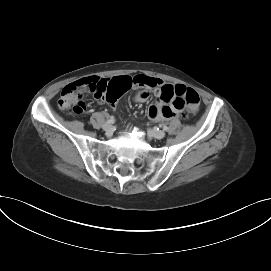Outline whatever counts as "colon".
Wrapping results in <instances>:
<instances>
[{
    "label": "colon",
    "instance_id": "1",
    "mask_svg": "<svg viewBox=\"0 0 271 271\" xmlns=\"http://www.w3.org/2000/svg\"><path fill=\"white\" fill-rule=\"evenodd\" d=\"M90 82L91 81L80 80L67 85L61 92L58 100V107L63 110H69L73 114H81L85 109L82 93L85 90L89 91ZM163 96L165 99L175 97L178 105H186L192 112H195L200 105L199 94L191 88H184L181 86L176 87L174 90L164 88Z\"/></svg>",
    "mask_w": 271,
    "mask_h": 271
}]
</instances>
